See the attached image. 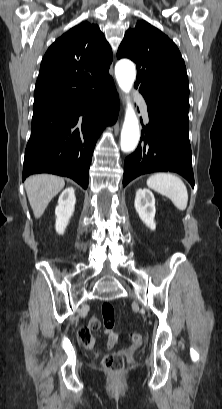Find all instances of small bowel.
Instances as JSON below:
<instances>
[{"mask_svg": "<svg viewBox=\"0 0 222 409\" xmlns=\"http://www.w3.org/2000/svg\"><path fill=\"white\" fill-rule=\"evenodd\" d=\"M99 327H100L99 321L96 318H91L89 323H88V326H86V328L88 329V332L90 334V338L87 341L84 342V344L88 348H93L94 347L95 340L91 336V333L93 331L98 330ZM107 334H108V342H107L105 350H111L117 345L119 336H118V333L115 332V331H107Z\"/></svg>", "mask_w": 222, "mask_h": 409, "instance_id": "obj_1", "label": "small bowel"}]
</instances>
